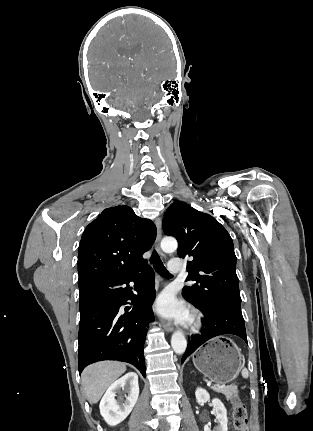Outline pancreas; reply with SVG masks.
<instances>
[{
  "label": "pancreas",
  "mask_w": 313,
  "mask_h": 431,
  "mask_svg": "<svg viewBox=\"0 0 313 431\" xmlns=\"http://www.w3.org/2000/svg\"><path fill=\"white\" fill-rule=\"evenodd\" d=\"M213 389L218 393L224 394L227 399H232L238 395L237 386L235 385L228 387H214Z\"/></svg>",
  "instance_id": "cf45deb5"
}]
</instances>
